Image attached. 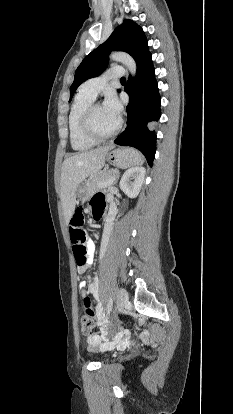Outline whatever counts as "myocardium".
Listing matches in <instances>:
<instances>
[{
  "label": "myocardium",
  "instance_id": "obj_1",
  "mask_svg": "<svg viewBox=\"0 0 233 414\" xmlns=\"http://www.w3.org/2000/svg\"><path fill=\"white\" fill-rule=\"evenodd\" d=\"M100 105L99 103L96 102H91L83 111L81 118H80V130L82 132V134L88 138L89 140L95 141V142H101V141H105L108 140L112 137H114L121 129L122 126V121L121 119H118V122L115 126V128L104 135L98 134L97 132H95V130L92 127L91 124V117H92V113L93 110L96 106Z\"/></svg>",
  "mask_w": 233,
  "mask_h": 414
}]
</instances>
